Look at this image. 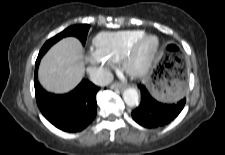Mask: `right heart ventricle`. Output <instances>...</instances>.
<instances>
[{
    "label": "right heart ventricle",
    "instance_id": "obj_1",
    "mask_svg": "<svg viewBox=\"0 0 225 155\" xmlns=\"http://www.w3.org/2000/svg\"><path fill=\"white\" fill-rule=\"evenodd\" d=\"M144 34L142 30L103 32L94 39L95 50L105 59L118 62Z\"/></svg>",
    "mask_w": 225,
    "mask_h": 155
}]
</instances>
